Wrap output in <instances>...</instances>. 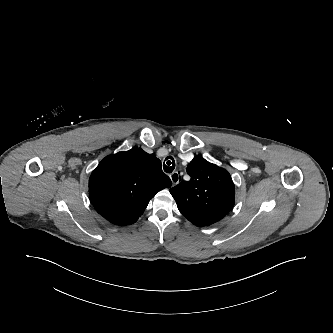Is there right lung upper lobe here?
Returning <instances> with one entry per match:
<instances>
[{
    "label": "right lung upper lobe",
    "mask_w": 333,
    "mask_h": 333,
    "mask_svg": "<svg viewBox=\"0 0 333 333\" xmlns=\"http://www.w3.org/2000/svg\"><path fill=\"white\" fill-rule=\"evenodd\" d=\"M172 182L153 154L134 147L105 157L89 178V196L95 210L116 225H130L157 192Z\"/></svg>",
    "instance_id": "cb5924a9"
}]
</instances>
